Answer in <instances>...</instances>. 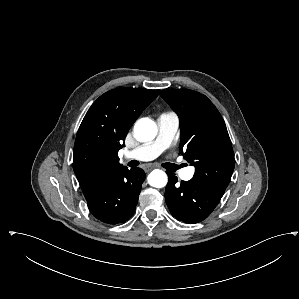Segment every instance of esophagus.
Returning a JSON list of instances; mask_svg holds the SVG:
<instances>
[{"label":"esophagus","instance_id":"1","mask_svg":"<svg viewBox=\"0 0 299 299\" xmlns=\"http://www.w3.org/2000/svg\"><path fill=\"white\" fill-rule=\"evenodd\" d=\"M153 168H154V166H151V165H145V166L143 167V170H144L145 172H149V171H151Z\"/></svg>","mask_w":299,"mask_h":299}]
</instances>
